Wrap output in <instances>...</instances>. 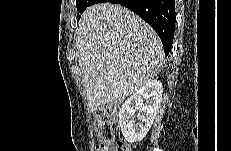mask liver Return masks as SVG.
Returning <instances> with one entry per match:
<instances>
[{
	"mask_svg": "<svg viewBox=\"0 0 231 151\" xmlns=\"http://www.w3.org/2000/svg\"><path fill=\"white\" fill-rule=\"evenodd\" d=\"M77 54L91 109L137 92L163 67L156 32L127 8L109 2L84 11Z\"/></svg>",
	"mask_w": 231,
	"mask_h": 151,
	"instance_id": "obj_1",
	"label": "liver"
}]
</instances>
